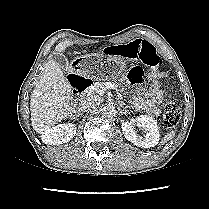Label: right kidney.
Instances as JSON below:
<instances>
[{"instance_id":"obj_1","label":"right kidney","mask_w":209,"mask_h":209,"mask_svg":"<svg viewBox=\"0 0 209 209\" xmlns=\"http://www.w3.org/2000/svg\"><path fill=\"white\" fill-rule=\"evenodd\" d=\"M75 134V124H59L43 132L42 141L48 145H60L69 142Z\"/></svg>"}]
</instances>
